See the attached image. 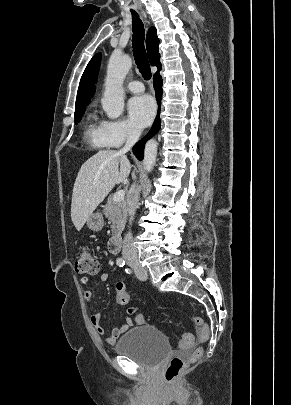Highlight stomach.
Listing matches in <instances>:
<instances>
[{"instance_id":"0dacf381","label":"stomach","mask_w":291,"mask_h":405,"mask_svg":"<svg viewBox=\"0 0 291 405\" xmlns=\"http://www.w3.org/2000/svg\"><path fill=\"white\" fill-rule=\"evenodd\" d=\"M87 227L92 231H100L103 228L104 220L100 212L92 213L86 221Z\"/></svg>"}]
</instances>
